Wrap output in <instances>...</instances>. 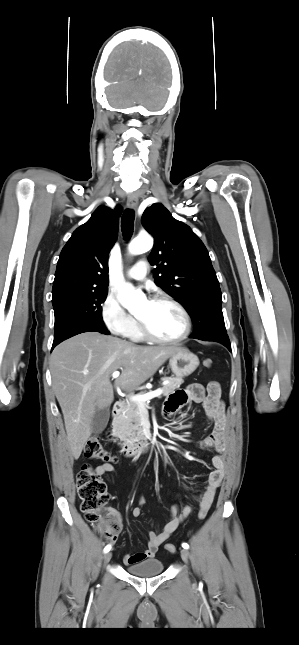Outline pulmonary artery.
I'll return each instance as SVG.
<instances>
[{
  "label": "pulmonary artery",
  "mask_w": 299,
  "mask_h": 645,
  "mask_svg": "<svg viewBox=\"0 0 299 645\" xmlns=\"http://www.w3.org/2000/svg\"><path fill=\"white\" fill-rule=\"evenodd\" d=\"M148 272V263L144 260L138 261L128 271L127 276L130 279L141 281L145 279Z\"/></svg>",
  "instance_id": "1"
}]
</instances>
